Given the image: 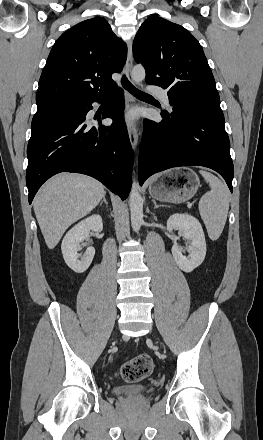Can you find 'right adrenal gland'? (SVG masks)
I'll list each match as a JSON object with an SVG mask.
<instances>
[{"label": "right adrenal gland", "instance_id": "obj_1", "mask_svg": "<svg viewBox=\"0 0 263 440\" xmlns=\"http://www.w3.org/2000/svg\"><path fill=\"white\" fill-rule=\"evenodd\" d=\"M102 203H105L106 205H108V202H107V200H106V197L104 196L103 197V200L100 202V206L102 205Z\"/></svg>", "mask_w": 263, "mask_h": 440}]
</instances>
